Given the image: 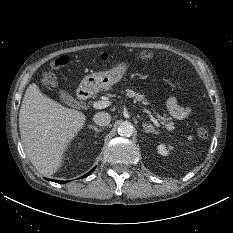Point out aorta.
Masks as SVG:
<instances>
[{
	"mask_svg": "<svg viewBox=\"0 0 233 233\" xmlns=\"http://www.w3.org/2000/svg\"><path fill=\"white\" fill-rule=\"evenodd\" d=\"M133 132H134V127L130 122L124 121V122L120 123V125L118 127V133L121 136L129 137L133 134Z\"/></svg>",
	"mask_w": 233,
	"mask_h": 233,
	"instance_id": "aorta-1",
	"label": "aorta"
}]
</instances>
